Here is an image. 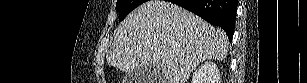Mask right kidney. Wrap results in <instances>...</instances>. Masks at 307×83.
Instances as JSON below:
<instances>
[{
  "label": "right kidney",
  "mask_w": 307,
  "mask_h": 83,
  "mask_svg": "<svg viewBox=\"0 0 307 83\" xmlns=\"http://www.w3.org/2000/svg\"><path fill=\"white\" fill-rule=\"evenodd\" d=\"M191 83H221L220 73L214 62H204L195 70Z\"/></svg>",
  "instance_id": "right-kidney-1"
}]
</instances>
